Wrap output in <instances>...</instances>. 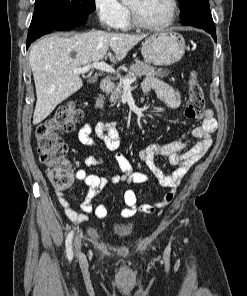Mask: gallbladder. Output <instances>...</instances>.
I'll return each instance as SVG.
<instances>
[{
    "instance_id": "1",
    "label": "gallbladder",
    "mask_w": 247,
    "mask_h": 296,
    "mask_svg": "<svg viewBox=\"0 0 247 296\" xmlns=\"http://www.w3.org/2000/svg\"><path fill=\"white\" fill-rule=\"evenodd\" d=\"M88 81L91 82V83H92V82H95V78L92 77V78H90Z\"/></svg>"
}]
</instances>
